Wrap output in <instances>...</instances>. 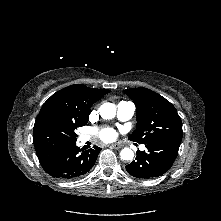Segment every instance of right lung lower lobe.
Listing matches in <instances>:
<instances>
[{"instance_id":"98d812e1","label":"right lung lower lobe","mask_w":221,"mask_h":221,"mask_svg":"<svg viewBox=\"0 0 221 221\" xmlns=\"http://www.w3.org/2000/svg\"><path fill=\"white\" fill-rule=\"evenodd\" d=\"M101 148L83 151L76 143L37 155L44 170L51 176L71 180L81 177L94 166Z\"/></svg>"}]
</instances>
